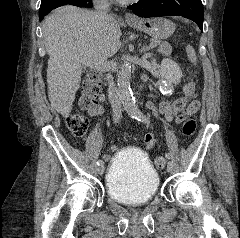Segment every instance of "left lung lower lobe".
I'll use <instances>...</instances> for the list:
<instances>
[{
    "instance_id": "left-lung-lower-lobe-1",
    "label": "left lung lower lobe",
    "mask_w": 240,
    "mask_h": 238,
    "mask_svg": "<svg viewBox=\"0 0 240 238\" xmlns=\"http://www.w3.org/2000/svg\"><path fill=\"white\" fill-rule=\"evenodd\" d=\"M128 8L140 17L182 16L194 21L203 31L201 0H139Z\"/></svg>"
}]
</instances>
